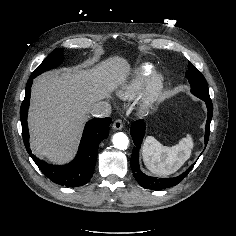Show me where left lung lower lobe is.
<instances>
[{"instance_id":"1","label":"left lung lower lobe","mask_w":236,"mask_h":236,"mask_svg":"<svg viewBox=\"0 0 236 236\" xmlns=\"http://www.w3.org/2000/svg\"><path fill=\"white\" fill-rule=\"evenodd\" d=\"M208 109V118L206 122L205 130V146L207 145L210 133V123L213 116V105L211 99L204 100ZM130 133L134 141L135 147L132 152L130 159V166L133 171L134 177L137 182L144 188H149L152 190H162L179 184L184 177L192 170L193 165H191L183 174L175 178H155L150 177L144 174L139 167V149L142 143L144 133H145V124L142 120L135 121L131 128Z\"/></svg>"}]
</instances>
